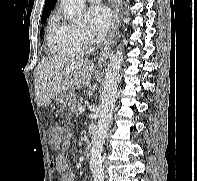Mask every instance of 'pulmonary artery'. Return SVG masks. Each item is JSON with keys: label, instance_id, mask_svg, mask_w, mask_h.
<instances>
[{"label": "pulmonary artery", "instance_id": "obj_1", "mask_svg": "<svg viewBox=\"0 0 197 181\" xmlns=\"http://www.w3.org/2000/svg\"><path fill=\"white\" fill-rule=\"evenodd\" d=\"M90 2H93V3H98L100 2L101 0H89Z\"/></svg>", "mask_w": 197, "mask_h": 181}]
</instances>
